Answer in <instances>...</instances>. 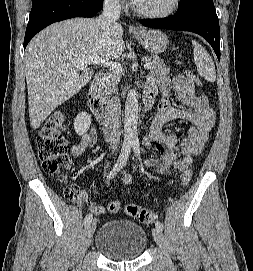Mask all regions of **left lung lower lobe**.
Segmentation results:
<instances>
[{
  "label": "left lung lower lobe",
  "mask_w": 253,
  "mask_h": 271,
  "mask_svg": "<svg viewBox=\"0 0 253 271\" xmlns=\"http://www.w3.org/2000/svg\"><path fill=\"white\" fill-rule=\"evenodd\" d=\"M146 27L191 31L204 37L220 60V28L213 0H200V5L188 11L178 10L173 16L162 19H144Z\"/></svg>",
  "instance_id": "obj_1"
}]
</instances>
